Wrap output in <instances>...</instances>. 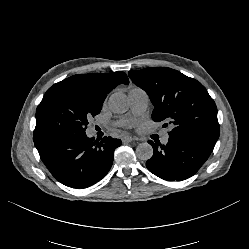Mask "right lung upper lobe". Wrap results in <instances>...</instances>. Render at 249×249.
<instances>
[{"label": "right lung upper lobe", "mask_w": 249, "mask_h": 249, "mask_svg": "<svg viewBox=\"0 0 249 249\" xmlns=\"http://www.w3.org/2000/svg\"><path fill=\"white\" fill-rule=\"evenodd\" d=\"M121 83L126 85L129 83L127 75L122 71L107 74H77L54 84L48 90L58 88L79 89L95 102L102 104L107 94Z\"/></svg>", "instance_id": "obj_1"}]
</instances>
